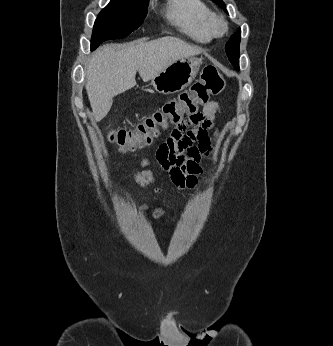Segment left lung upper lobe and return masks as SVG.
<instances>
[{"mask_svg":"<svg viewBox=\"0 0 333 346\" xmlns=\"http://www.w3.org/2000/svg\"><path fill=\"white\" fill-rule=\"evenodd\" d=\"M215 4L219 5L221 8L226 9V6L222 0H212ZM240 38H241V31L240 28L238 31L233 34L230 38V40L227 42L225 51L226 54L232 63V65L239 69V44H240Z\"/></svg>","mask_w":333,"mask_h":346,"instance_id":"obj_1","label":"left lung upper lobe"}]
</instances>
